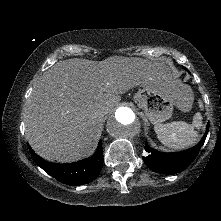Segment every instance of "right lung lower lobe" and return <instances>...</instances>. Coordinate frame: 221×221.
<instances>
[{"label": "right lung lower lobe", "mask_w": 221, "mask_h": 221, "mask_svg": "<svg viewBox=\"0 0 221 221\" xmlns=\"http://www.w3.org/2000/svg\"><path fill=\"white\" fill-rule=\"evenodd\" d=\"M34 161L49 175L58 181L76 186L93 181L100 173L103 166L102 141L99 142L95 154L84 160L74 163L57 164L40 158L29 146Z\"/></svg>", "instance_id": "98d812e1"}]
</instances>
